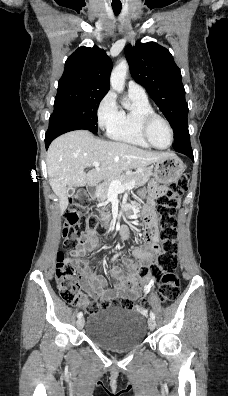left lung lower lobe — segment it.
Here are the masks:
<instances>
[{
  "label": "left lung lower lobe",
  "mask_w": 228,
  "mask_h": 396,
  "mask_svg": "<svg viewBox=\"0 0 228 396\" xmlns=\"http://www.w3.org/2000/svg\"><path fill=\"white\" fill-rule=\"evenodd\" d=\"M173 148L176 151L187 155L194 161L193 152L190 145L188 125L177 133V137L174 140Z\"/></svg>",
  "instance_id": "1"
}]
</instances>
